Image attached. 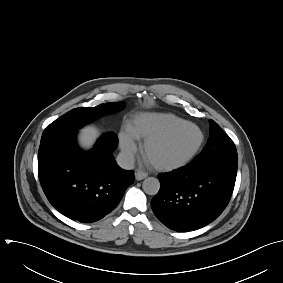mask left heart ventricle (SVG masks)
I'll list each match as a JSON object with an SVG mask.
<instances>
[{
    "mask_svg": "<svg viewBox=\"0 0 283 283\" xmlns=\"http://www.w3.org/2000/svg\"><path fill=\"white\" fill-rule=\"evenodd\" d=\"M199 132L192 126H182L164 141L147 150V159L156 164H170L188 155L199 140Z\"/></svg>",
    "mask_w": 283,
    "mask_h": 283,
    "instance_id": "obj_1",
    "label": "left heart ventricle"
}]
</instances>
